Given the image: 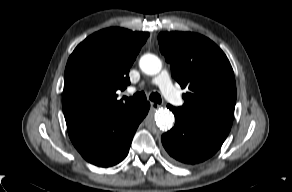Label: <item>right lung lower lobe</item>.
<instances>
[{"label": "right lung lower lobe", "instance_id": "obj_1", "mask_svg": "<svg viewBox=\"0 0 292 192\" xmlns=\"http://www.w3.org/2000/svg\"><path fill=\"white\" fill-rule=\"evenodd\" d=\"M149 108L150 103L146 102L105 118L68 120L69 137L88 162L100 167L116 165L127 156L133 136Z\"/></svg>", "mask_w": 292, "mask_h": 192}]
</instances>
